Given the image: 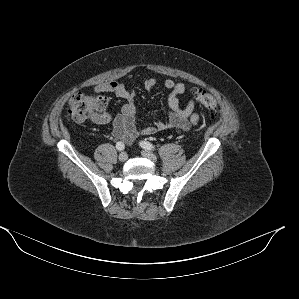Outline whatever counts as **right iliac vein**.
Returning a JSON list of instances; mask_svg holds the SVG:
<instances>
[{"label": "right iliac vein", "instance_id": "63e3f726", "mask_svg": "<svg viewBox=\"0 0 299 299\" xmlns=\"http://www.w3.org/2000/svg\"><path fill=\"white\" fill-rule=\"evenodd\" d=\"M118 159H119L120 162H125L128 159L127 153L126 152L120 153Z\"/></svg>", "mask_w": 299, "mask_h": 299}]
</instances>
